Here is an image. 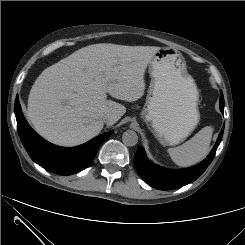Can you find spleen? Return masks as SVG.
<instances>
[{
	"label": "spleen",
	"mask_w": 245,
	"mask_h": 245,
	"mask_svg": "<svg viewBox=\"0 0 245 245\" xmlns=\"http://www.w3.org/2000/svg\"><path fill=\"white\" fill-rule=\"evenodd\" d=\"M213 128L206 126L181 146L169 148L168 153L175 164L189 167L203 160L210 150Z\"/></svg>",
	"instance_id": "1"
}]
</instances>
